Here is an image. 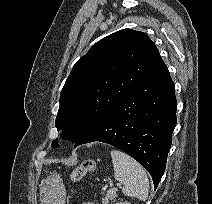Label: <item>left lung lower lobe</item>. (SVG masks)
<instances>
[{
    "mask_svg": "<svg viewBox=\"0 0 212 204\" xmlns=\"http://www.w3.org/2000/svg\"><path fill=\"white\" fill-rule=\"evenodd\" d=\"M176 108L174 84L162 63L109 109L75 147L100 141L126 152L148 170L156 188L165 171Z\"/></svg>",
    "mask_w": 212,
    "mask_h": 204,
    "instance_id": "1",
    "label": "left lung lower lobe"
}]
</instances>
